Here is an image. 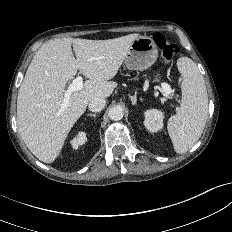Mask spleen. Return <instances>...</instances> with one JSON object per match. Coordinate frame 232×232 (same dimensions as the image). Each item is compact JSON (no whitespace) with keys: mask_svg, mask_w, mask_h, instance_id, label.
I'll return each instance as SVG.
<instances>
[{"mask_svg":"<svg viewBox=\"0 0 232 232\" xmlns=\"http://www.w3.org/2000/svg\"><path fill=\"white\" fill-rule=\"evenodd\" d=\"M177 67L182 75V99L179 111L168 120L167 129L174 149L182 154L200 138L208 114V97L204 79L194 61L180 57Z\"/></svg>","mask_w":232,"mask_h":232,"instance_id":"1","label":"spleen"}]
</instances>
